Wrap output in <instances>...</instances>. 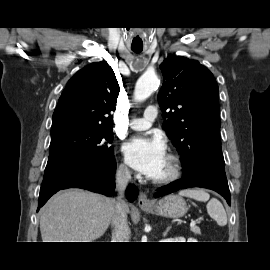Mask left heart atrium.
<instances>
[{"mask_svg": "<svg viewBox=\"0 0 270 270\" xmlns=\"http://www.w3.org/2000/svg\"><path fill=\"white\" fill-rule=\"evenodd\" d=\"M122 150L131 167L152 179L167 158L166 146L159 138H132L124 143Z\"/></svg>", "mask_w": 270, "mask_h": 270, "instance_id": "1", "label": "left heart atrium"}]
</instances>
